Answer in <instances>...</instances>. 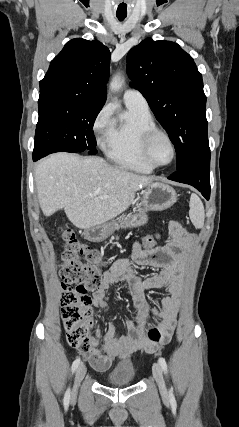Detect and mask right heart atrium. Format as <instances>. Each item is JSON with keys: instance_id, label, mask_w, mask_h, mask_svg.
<instances>
[{"instance_id": "1", "label": "right heart atrium", "mask_w": 239, "mask_h": 427, "mask_svg": "<svg viewBox=\"0 0 239 427\" xmlns=\"http://www.w3.org/2000/svg\"><path fill=\"white\" fill-rule=\"evenodd\" d=\"M112 127V109L110 106H105L97 114L93 122V132L99 145L105 146Z\"/></svg>"}]
</instances>
